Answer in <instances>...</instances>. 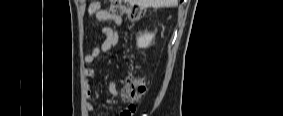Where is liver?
<instances>
[{
    "mask_svg": "<svg viewBox=\"0 0 283 116\" xmlns=\"http://www.w3.org/2000/svg\"><path fill=\"white\" fill-rule=\"evenodd\" d=\"M131 4H137L141 7H174L177 6L178 0H125Z\"/></svg>",
    "mask_w": 283,
    "mask_h": 116,
    "instance_id": "6515ba94",
    "label": "liver"
}]
</instances>
